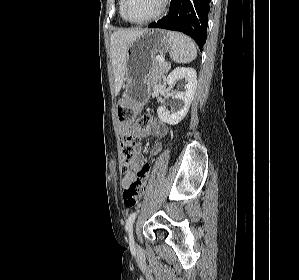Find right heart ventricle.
Here are the masks:
<instances>
[{
  "mask_svg": "<svg viewBox=\"0 0 299 280\" xmlns=\"http://www.w3.org/2000/svg\"><path fill=\"white\" fill-rule=\"evenodd\" d=\"M120 16H121V18H122L123 20H126V19L124 18L123 12H122V0L120 1Z\"/></svg>",
  "mask_w": 299,
  "mask_h": 280,
  "instance_id": "1",
  "label": "right heart ventricle"
}]
</instances>
